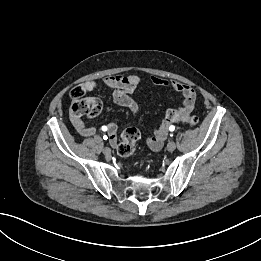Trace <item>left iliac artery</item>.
<instances>
[{"mask_svg":"<svg viewBox=\"0 0 261 261\" xmlns=\"http://www.w3.org/2000/svg\"><path fill=\"white\" fill-rule=\"evenodd\" d=\"M169 130H170V131H174V130H175V127H174L173 125H171V126L169 127Z\"/></svg>","mask_w":261,"mask_h":261,"instance_id":"44dca946","label":"left iliac artery"}]
</instances>
